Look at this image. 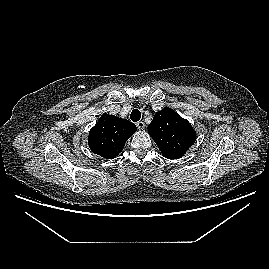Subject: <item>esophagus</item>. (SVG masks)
I'll return each instance as SVG.
<instances>
[{
	"mask_svg": "<svg viewBox=\"0 0 269 269\" xmlns=\"http://www.w3.org/2000/svg\"><path fill=\"white\" fill-rule=\"evenodd\" d=\"M136 126L139 130H143L145 128V123L143 121H138Z\"/></svg>",
	"mask_w": 269,
	"mask_h": 269,
	"instance_id": "1",
	"label": "esophagus"
}]
</instances>
